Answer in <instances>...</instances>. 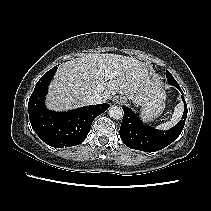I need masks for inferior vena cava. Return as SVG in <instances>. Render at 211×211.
Masks as SVG:
<instances>
[{"label":"inferior vena cava","instance_id":"inferior-vena-cava-1","mask_svg":"<svg viewBox=\"0 0 211 211\" xmlns=\"http://www.w3.org/2000/svg\"><path fill=\"white\" fill-rule=\"evenodd\" d=\"M85 101L88 104H101L103 102V98L99 94H94V95H91V96H87L85 98Z\"/></svg>","mask_w":211,"mask_h":211}]
</instances>
